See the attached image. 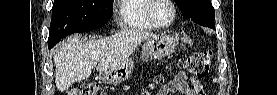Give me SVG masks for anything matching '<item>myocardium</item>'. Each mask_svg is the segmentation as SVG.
<instances>
[{"mask_svg":"<svg viewBox=\"0 0 277 95\" xmlns=\"http://www.w3.org/2000/svg\"><path fill=\"white\" fill-rule=\"evenodd\" d=\"M158 2H164L165 4L169 5L170 8H171V14L168 17V19L164 22L158 21L154 17V15L152 14V9ZM175 16H176V9H175V6L173 5V1H171V0H152L151 4L147 8V17H148V19L157 27H167V26H169L174 21Z\"/></svg>","mask_w":277,"mask_h":95,"instance_id":"myocardium-1","label":"myocardium"}]
</instances>
